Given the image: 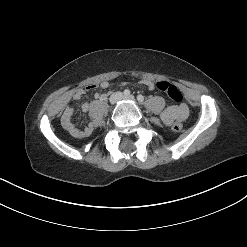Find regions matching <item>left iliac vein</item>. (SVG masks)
I'll list each match as a JSON object with an SVG mask.
<instances>
[{
  "instance_id": "left-iliac-vein-1",
  "label": "left iliac vein",
  "mask_w": 247,
  "mask_h": 247,
  "mask_svg": "<svg viewBox=\"0 0 247 247\" xmlns=\"http://www.w3.org/2000/svg\"><path fill=\"white\" fill-rule=\"evenodd\" d=\"M124 99L130 100V101H134L135 100L133 95L125 96Z\"/></svg>"
}]
</instances>
